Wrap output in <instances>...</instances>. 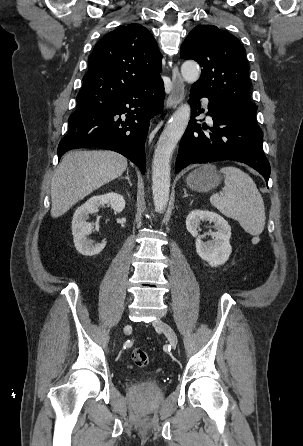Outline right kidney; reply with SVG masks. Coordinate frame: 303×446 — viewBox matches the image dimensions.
<instances>
[{"mask_svg": "<svg viewBox=\"0 0 303 446\" xmlns=\"http://www.w3.org/2000/svg\"><path fill=\"white\" fill-rule=\"evenodd\" d=\"M110 204L117 211L122 212L125 208L124 197L111 192L104 195L91 197L83 205L77 208L72 219V234L76 250L84 256H94L99 254L106 246V242L95 243L87 239V235L92 232V225L87 222L89 214L98 212L99 207Z\"/></svg>", "mask_w": 303, "mask_h": 446, "instance_id": "ca27d5eb", "label": "right kidney"}]
</instances>
